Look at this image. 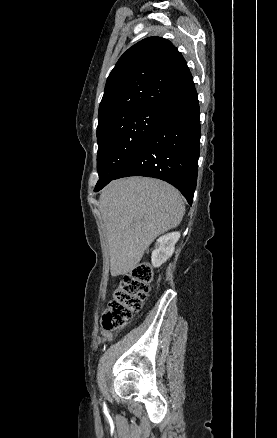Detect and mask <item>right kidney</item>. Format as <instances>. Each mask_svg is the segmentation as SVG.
<instances>
[{"label": "right kidney", "mask_w": 277, "mask_h": 438, "mask_svg": "<svg viewBox=\"0 0 277 438\" xmlns=\"http://www.w3.org/2000/svg\"><path fill=\"white\" fill-rule=\"evenodd\" d=\"M179 238L180 232H171V234H165V236L158 238L155 244V250H153L151 256V262L154 268H159L168 258H171L175 250L174 246L177 244Z\"/></svg>", "instance_id": "right-kidney-1"}]
</instances>
